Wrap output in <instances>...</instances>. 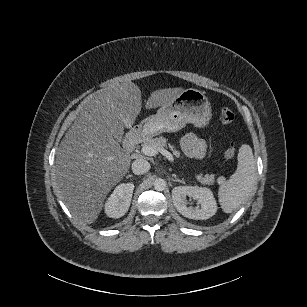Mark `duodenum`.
<instances>
[{
	"instance_id": "1",
	"label": "duodenum",
	"mask_w": 307,
	"mask_h": 307,
	"mask_svg": "<svg viewBox=\"0 0 307 307\" xmlns=\"http://www.w3.org/2000/svg\"><path fill=\"white\" fill-rule=\"evenodd\" d=\"M146 139V132L140 128L130 131L124 142V147L128 152H131L138 144Z\"/></svg>"
}]
</instances>
